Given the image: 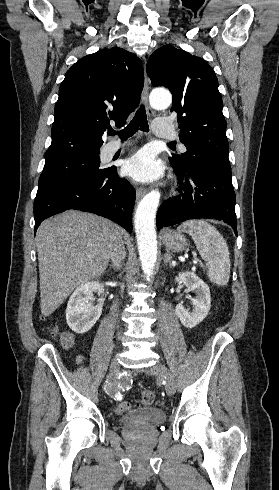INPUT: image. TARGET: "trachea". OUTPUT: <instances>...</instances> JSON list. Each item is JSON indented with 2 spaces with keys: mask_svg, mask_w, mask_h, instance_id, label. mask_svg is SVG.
Returning a JSON list of instances; mask_svg holds the SVG:
<instances>
[{
  "mask_svg": "<svg viewBox=\"0 0 279 490\" xmlns=\"http://www.w3.org/2000/svg\"><path fill=\"white\" fill-rule=\"evenodd\" d=\"M138 130H142L143 132L149 131L147 115L143 107L139 108L133 120H131L127 127H125L123 130H120L119 132H116L112 129L108 130V135H119L121 140H126L127 138L132 137L134 133H136Z\"/></svg>",
  "mask_w": 279,
  "mask_h": 490,
  "instance_id": "trachea-1",
  "label": "trachea"
}]
</instances>
